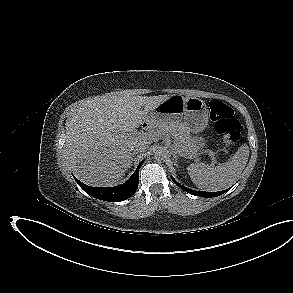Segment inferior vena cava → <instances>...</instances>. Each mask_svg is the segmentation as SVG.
I'll use <instances>...</instances> for the list:
<instances>
[{"instance_id": "602c4592", "label": "inferior vena cava", "mask_w": 293, "mask_h": 293, "mask_svg": "<svg viewBox=\"0 0 293 293\" xmlns=\"http://www.w3.org/2000/svg\"><path fill=\"white\" fill-rule=\"evenodd\" d=\"M146 148L147 146L144 144H137L135 148L133 149L134 151L133 153L137 154V153L145 152Z\"/></svg>"}]
</instances>
